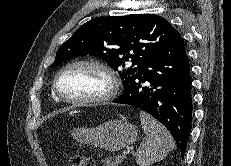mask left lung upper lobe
<instances>
[{"instance_id":"1","label":"left lung upper lobe","mask_w":231,"mask_h":166,"mask_svg":"<svg viewBox=\"0 0 231 166\" xmlns=\"http://www.w3.org/2000/svg\"><path fill=\"white\" fill-rule=\"evenodd\" d=\"M175 32L165 18L155 14L99 17L83 24L61 45L50 67L87 54L100 57L116 71L124 68L119 72L126 88L134 74Z\"/></svg>"}]
</instances>
